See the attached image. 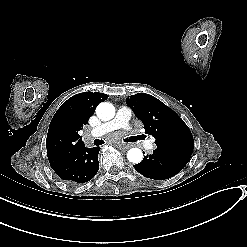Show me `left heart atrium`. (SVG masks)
I'll list each match as a JSON object with an SVG mask.
<instances>
[{"instance_id": "1", "label": "left heart atrium", "mask_w": 247, "mask_h": 247, "mask_svg": "<svg viewBox=\"0 0 247 247\" xmlns=\"http://www.w3.org/2000/svg\"><path fill=\"white\" fill-rule=\"evenodd\" d=\"M109 140H113V137L112 136H108L107 137Z\"/></svg>"}]
</instances>
